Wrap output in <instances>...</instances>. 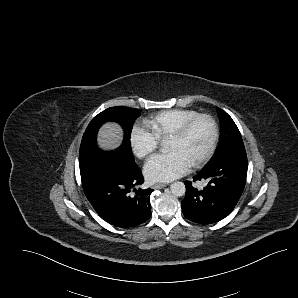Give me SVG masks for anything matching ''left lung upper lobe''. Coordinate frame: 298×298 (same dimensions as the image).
I'll use <instances>...</instances> for the list:
<instances>
[{
    "label": "left lung upper lobe",
    "instance_id": "1",
    "mask_svg": "<svg viewBox=\"0 0 298 298\" xmlns=\"http://www.w3.org/2000/svg\"><path fill=\"white\" fill-rule=\"evenodd\" d=\"M217 112L222 133L218 148L211 162L220 159L232 151L245 149L241 134L233 119L220 108H217Z\"/></svg>",
    "mask_w": 298,
    "mask_h": 298
}]
</instances>
